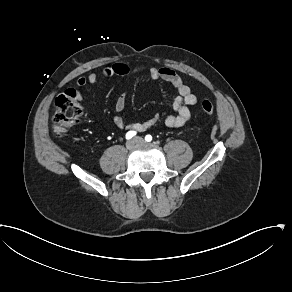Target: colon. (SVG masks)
<instances>
[{
	"mask_svg": "<svg viewBox=\"0 0 292 292\" xmlns=\"http://www.w3.org/2000/svg\"><path fill=\"white\" fill-rule=\"evenodd\" d=\"M203 114L210 115L213 112L212 101L207 99L201 103ZM84 109L77 98L74 89L69 88L62 92L55 100L53 115V132L55 135H62L69 127L78 123L83 117Z\"/></svg>",
	"mask_w": 292,
	"mask_h": 292,
	"instance_id": "1",
	"label": "colon"
}]
</instances>
